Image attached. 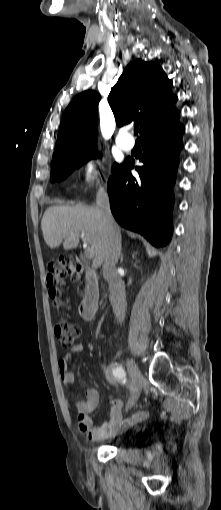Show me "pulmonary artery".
<instances>
[{
    "label": "pulmonary artery",
    "instance_id": "1",
    "mask_svg": "<svg viewBox=\"0 0 221 510\" xmlns=\"http://www.w3.org/2000/svg\"><path fill=\"white\" fill-rule=\"evenodd\" d=\"M116 143L126 151L131 150L134 144L132 136L127 132H119L116 136Z\"/></svg>",
    "mask_w": 221,
    "mask_h": 510
}]
</instances>
